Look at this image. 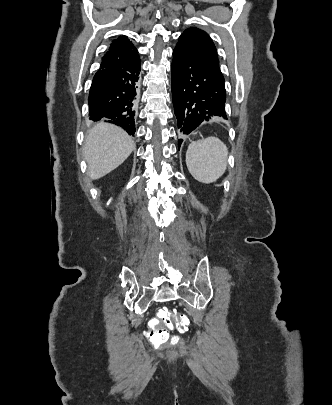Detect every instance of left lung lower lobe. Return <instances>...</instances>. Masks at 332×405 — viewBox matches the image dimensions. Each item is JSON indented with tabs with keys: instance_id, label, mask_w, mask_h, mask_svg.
I'll return each mask as SVG.
<instances>
[{
	"instance_id": "0a47b994",
	"label": "left lung lower lobe",
	"mask_w": 332,
	"mask_h": 405,
	"mask_svg": "<svg viewBox=\"0 0 332 405\" xmlns=\"http://www.w3.org/2000/svg\"><path fill=\"white\" fill-rule=\"evenodd\" d=\"M172 100L181 135L216 117L227 119L224 77L212 66L176 46L173 50ZM183 139L178 140V147Z\"/></svg>"
}]
</instances>
